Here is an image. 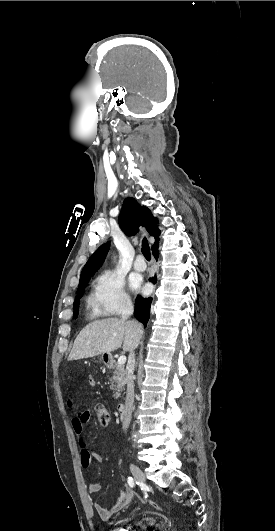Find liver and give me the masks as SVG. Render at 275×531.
Here are the masks:
<instances>
[{"label": "liver", "instance_id": "obj_1", "mask_svg": "<svg viewBox=\"0 0 275 531\" xmlns=\"http://www.w3.org/2000/svg\"><path fill=\"white\" fill-rule=\"evenodd\" d=\"M143 335L142 325L124 319H102L86 325L76 337L68 361L88 359L120 349L133 351Z\"/></svg>", "mask_w": 275, "mask_h": 531}]
</instances>
